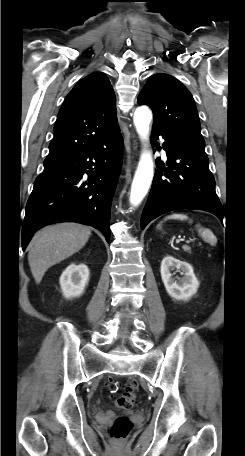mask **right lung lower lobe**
Here are the masks:
<instances>
[{
  "label": "right lung lower lobe",
  "mask_w": 245,
  "mask_h": 456,
  "mask_svg": "<svg viewBox=\"0 0 245 456\" xmlns=\"http://www.w3.org/2000/svg\"><path fill=\"white\" fill-rule=\"evenodd\" d=\"M123 154L115 132L80 155L44 168L36 178L22 227L25 250L35 231L55 222L90 225L110 238V208ZM88 174L85 181L84 174Z\"/></svg>",
  "instance_id": "obj_1"
}]
</instances>
